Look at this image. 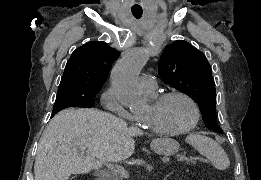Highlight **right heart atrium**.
Wrapping results in <instances>:
<instances>
[{"mask_svg": "<svg viewBox=\"0 0 261 180\" xmlns=\"http://www.w3.org/2000/svg\"><path fill=\"white\" fill-rule=\"evenodd\" d=\"M101 104L103 108H109V112H117L118 117H125V120H129V125L132 122L131 114L118 103L117 97L114 95L113 87H109L101 96Z\"/></svg>", "mask_w": 261, "mask_h": 180, "instance_id": "right-heart-atrium-1", "label": "right heart atrium"}]
</instances>
